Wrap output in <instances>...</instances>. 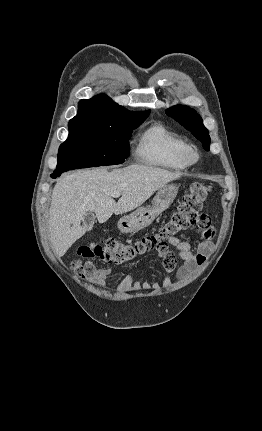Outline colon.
Here are the masks:
<instances>
[{"instance_id": "obj_1", "label": "colon", "mask_w": 262, "mask_h": 431, "mask_svg": "<svg viewBox=\"0 0 262 431\" xmlns=\"http://www.w3.org/2000/svg\"><path fill=\"white\" fill-rule=\"evenodd\" d=\"M211 188L202 183H193L170 219L156 232L145 235L134 242H120L114 239H99L81 245L71 261L74 271L83 276L91 270L92 260L100 259L108 263L122 264L132 261L147 252L168 254L169 238L189 228L202 219L200 211ZM87 259L88 261H83Z\"/></svg>"}]
</instances>
